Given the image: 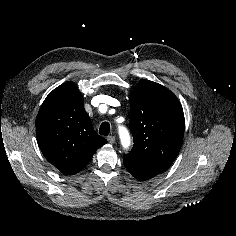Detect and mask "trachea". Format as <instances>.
Returning a JSON list of instances; mask_svg holds the SVG:
<instances>
[{
    "label": "trachea",
    "mask_w": 236,
    "mask_h": 236,
    "mask_svg": "<svg viewBox=\"0 0 236 236\" xmlns=\"http://www.w3.org/2000/svg\"><path fill=\"white\" fill-rule=\"evenodd\" d=\"M110 132V124L108 122H103L99 128V134L107 136Z\"/></svg>",
    "instance_id": "obj_1"
}]
</instances>
